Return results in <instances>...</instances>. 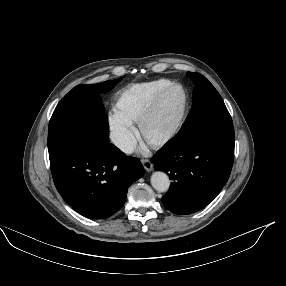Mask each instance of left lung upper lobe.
Wrapping results in <instances>:
<instances>
[{
  "label": "left lung upper lobe",
  "mask_w": 286,
  "mask_h": 286,
  "mask_svg": "<svg viewBox=\"0 0 286 286\" xmlns=\"http://www.w3.org/2000/svg\"><path fill=\"white\" fill-rule=\"evenodd\" d=\"M188 75L195 82L192 109L173 140L186 143L202 136L234 135L231 116L214 86L201 74Z\"/></svg>",
  "instance_id": "left-lung-upper-lobe-1"
}]
</instances>
